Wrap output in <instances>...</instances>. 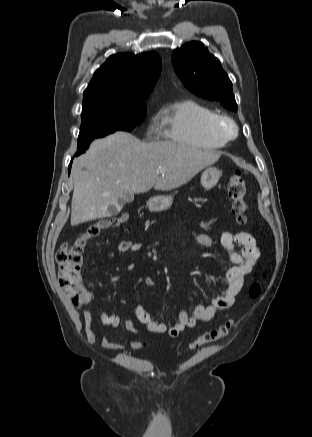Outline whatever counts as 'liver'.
Listing matches in <instances>:
<instances>
[{
    "label": "liver",
    "instance_id": "6515ba94",
    "mask_svg": "<svg viewBox=\"0 0 312 437\" xmlns=\"http://www.w3.org/2000/svg\"><path fill=\"white\" fill-rule=\"evenodd\" d=\"M220 156L176 142H140L126 132L96 139L72 165L71 225L107 216L127 193L178 188Z\"/></svg>",
    "mask_w": 312,
    "mask_h": 437
}]
</instances>
